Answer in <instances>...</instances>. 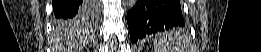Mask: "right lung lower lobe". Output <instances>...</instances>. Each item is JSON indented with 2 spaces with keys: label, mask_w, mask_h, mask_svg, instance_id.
<instances>
[{
  "label": "right lung lower lobe",
  "mask_w": 261,
  "mask_h": 52,
  "mask_svg": "<svg viewBox=\"0 0 261 52\" xmlns=\"http://www.w3.org/2000/svg\"><path fill=\"white\" fill-rule=\"evenodd\" d=\"M53 10L57 19H70L82 12H85V16H90L94 12L88 1L81 0H53Z\"/></svg>",
  "instance_id": "right-lung-lower-lobe-1"
}]
</instances>
